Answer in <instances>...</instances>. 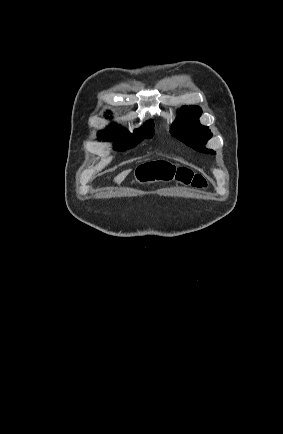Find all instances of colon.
<instances>
[{
    "instance_id": "colon-1",
    "label": "colon",
    "mask_w": 283,
    "mask_h": 434,
    "mask_svg": "<svg viewBox=\"0 0 283 434\" xmlns=\"http://www.w3.org/2000/svg\"><path fill=\"white\" fill-rule=\"evenodd\" d=\"M137 179L141 183H154L176 179L186 185L196 188H205L207 181L200 173L187 168H176L166 162H151L139 167Z\"/></svg>"
}]
</instances>
